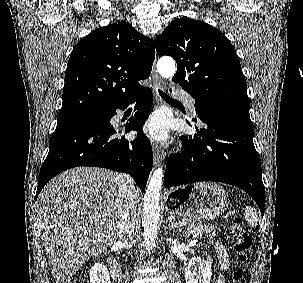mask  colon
<instances>
[{"label":"colon","mask_w":303,"mask_h":283,"mask_svg":"<svg viewBox=\"0 0 303 283\" xmlns=\"http://www.w3.org/2000/svg\"><path fill=\"white\" fill-rule=\"evenodd\" d=\"M230 240L237 259L241 262L246 261L250 254L252 240L246 232L243 222L238 218L232 220ZM242 277L243 271L241 269L234 270L232 283H242Z\"/></svg>","instance_id":"5ec220e1"}]
</instances>
